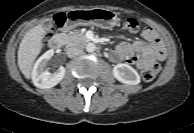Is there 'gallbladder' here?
<instances>
[{
  "label": "gallbladder",
  "mask_w": 194,
  "mask_h": 133,
  "mask_svg": "<svg viewBox=\"0 0 194 133\" xmlns=\"http://www.w3.org/2000/svg\"><path fill=\"white\" fill-rule=\"evenodd\" d=\"M50 25H53V23H52V22H50Z\"/></svg>",
  "instance_id": "obj_1"
}]
</instances>
